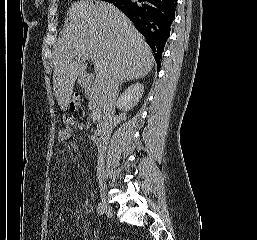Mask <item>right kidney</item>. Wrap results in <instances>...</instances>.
<instances>
[{"instance_id": "obj_1", "label": "right kidney", "mask_w": 257, "mask_h": 240, "mask_svg": "<svg viewBox=\"0 0 257 240\" xmlns=\"http://www.w3.org/2000/svg\"><path fill=\"white\" fill-rule=\"evenodd\" d=\"M144 91V86L136 83L128 87L118 98L117 107L122 111H129L137 105Z\"/></svg>"}]
</instances>
